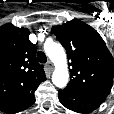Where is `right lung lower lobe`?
I'll return each mask as SVG.
<instances>
[{
	"instance_id": "obj_1",
	"label": "right lung lower lobe",
	"mask_w": 114,
	"mask_h": 114,
	"mask_svg": "<svg viewBox=\"0 0 114 114\" xmlns=\"http://www.w3.org/2000/svg\"><path fill=\"white\" fill-rule=\"evenodd\" d=\"M37 88L20 94L7 102L0 104V111L7 114L18 113L28 107H30L35 102L34 92Z\"/></svg>"
}]
</instances>
